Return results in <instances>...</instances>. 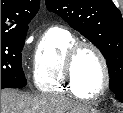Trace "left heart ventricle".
I'll return each mask as SVG.
<instances>
[{"mask_svg": "<svg viewBox=\"0 0 123 113\" xmlns=\"http://www.w3.org/2000/svg\"><path fill=\"white\" fill-rule=\"evenodd\" d=\"M74 74L83 94H95L103 85V68L98 56L90 49L83 50L76 59Z\"/></svg>", "mask_w": 123, "mask_h": 113, "instance_id": "1", "label": "left heart ventricle"}]
</instances>
